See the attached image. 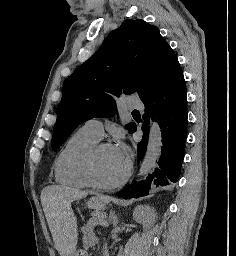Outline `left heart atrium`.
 Here are the masks:
<instances>
[{"instance_id":"left-heart-atrium-1","label":"left heart atrium","mask_w":236,"mask_h":256,"mask_svg":"<svg viewBox=\"0 0 236 256\" xmlns=\"http://www.w3.org/2000/svg\"><path fill=\"white\" fill-rule=\"evenodd\" d=\"M113 152L123 161L129 158V147L121 133L115 135V141L111 146Z\"/></svg>"}]
</instances>
